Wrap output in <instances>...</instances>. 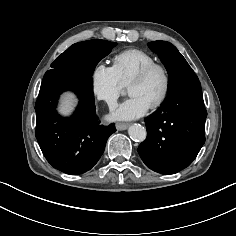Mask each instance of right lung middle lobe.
Segmentation results:
<instances>
[{
  "mask_svg": "<svg viewBox=\"0 0 236 236\" xmlns=\"http://www.w3.org/2000/svg\"><path fill=\"white\" fill-rule=\"evenodd\" d=\"M116 43L106 40H88L75 43L63 52L52 64V69L65 73L76 71L92 79L98 62L107 56Z\"/></svg>",
  "mask_w": 236,
  "mask_h": 236,
  "instance_id": "1",
  "label": "right lung middle lobe"
}]
</instances>
